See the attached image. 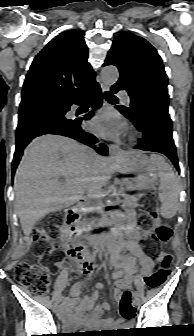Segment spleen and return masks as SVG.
<instances>
[{"label": "spleen", "mask_w": 194, "mask_h": 336, "mask_svg": "<svg viewBox=\"0 0 194 336\" xmlns=\"http://www.w3.org/2000/svg\"><path fill=\"white\" fill-rule=\"evenodd\" d=\"M150 160L157 168L160 178L161 214L164 218H172L177 211L180 185L171 166L158 154H151Z\"/></svg>", "instance_id": "obj_1"}]
</instances>
